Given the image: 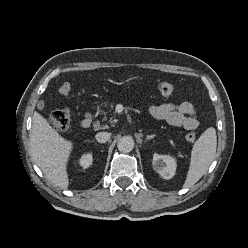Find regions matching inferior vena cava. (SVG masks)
Listing matches in <instances>:
<instances>
[{
	"mask_svg": "<svg viewBox=\"0 0 248 248\" xmlns=\"http://www.w3.org/2000/svg\"><path fill=\"white\" fill-rule=\"evenodd\" d=\"M110 137L111 133L108 132H99L95 135V138L99 143H106Z\"/></svg>",
	"mask_w": 248,
	"mask_h": 248,
	"instance_id": "602c4592",
	"label": "inferior vena cava"
}]
</instances>
